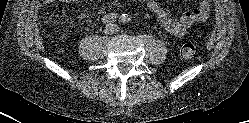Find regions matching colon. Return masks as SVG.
Masks as SVG:
<instances>
[{"label":"colon","mask_w":249,"mask_h":123,"mask_svg":"<svg viewBox=\"0 0 249 123\" xmlns=\"http://www.w3.org/2000/svg\"><path fill=\"white\" fill-rule=\"evenodd\" d=\"M196 52V44L192 40L183 42L180 48V54L183 58H192Z\"/></svg>","instance_id":"obj_1"}]
</instances>
